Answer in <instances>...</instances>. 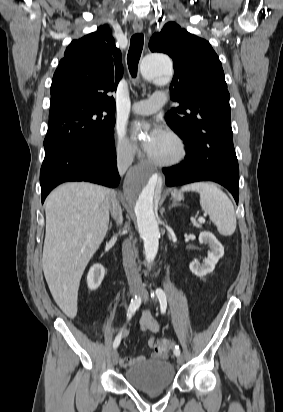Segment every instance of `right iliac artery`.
Segmentation results:
<instances>
[{
    "mask_svg": "<svg viewBox=\"0 0 283 412\" xmlns=\"http://www.w3.org/2000/svg\"><path fill=\"white\" fill-rule=\"evenodd\" d=\"M140 305H141V297L140 296L139 297L135 296V298L131 300V303H130L129 308H128V314H127L128 319L131 318V316L136 312V310L140 307ZM120 342H121V334H119L115 338V340L113 342V348L114 349L117 348L119 346Z\"/></svg>",
    "mask_w": 283,
    "mask_h": 412,
    "instance_id": "right-iliac-artery-1",
    "label": "right iliac artery"
}]
</instances>
